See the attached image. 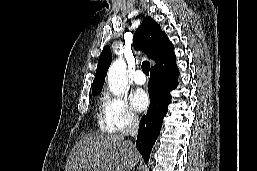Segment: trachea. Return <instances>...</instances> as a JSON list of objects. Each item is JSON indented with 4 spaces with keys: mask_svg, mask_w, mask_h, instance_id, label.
Masks as SVG:
<instances>
[{
    "mask_svg": "<svg viewBox=\"0 0 257 171\" xmlns=\"http://www.w3.org/2000/svg\"><path fill=\"white\" fill-rule=\"evenodd\" d=\"M142 70L148 76L150 71V63L149 61L145 60L142 63Z\"/></svg>",
    "mask_w": 257,
    "mask_h": 171,
    "instance_id": "3493384b",
    "label": "trachea"
}]
</instances>
